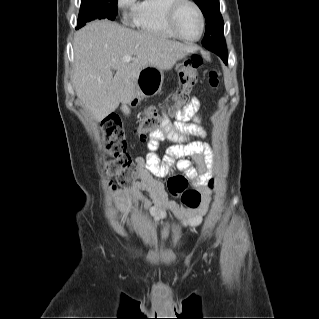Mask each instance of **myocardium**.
I'll return each mask as SVG.
<instances>
[{
	"instance_id": "myocardium-1",
	"label": "myocardium",
	"mask_w": 319,
	"mask_h": 319,
	"mask_svg": "<svg viewBox=\"0 0 319 319\" xmlns=\"http://www.w3.org/2000/svg\"><path fill=\"white\" fill-rule=\"evenodd\" d=\"M184 5H190L192 6L199 18V22H200V31L197 37L195 38H187L185 36H183L177 26H176V18H177V14L179 12V10L184 6ZM166 23L167 26L169 28V30L171 31V33L186 42H197L199 41L204 33V29H205V19H204V14L201 10V8L198 6V4L193 1V0H172V2L168 5L167 7V11H166Z\"/></svg>"
}]
</instances>
